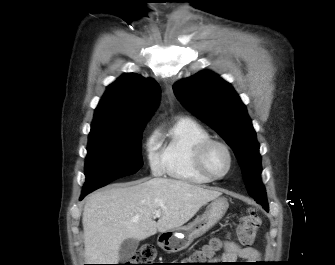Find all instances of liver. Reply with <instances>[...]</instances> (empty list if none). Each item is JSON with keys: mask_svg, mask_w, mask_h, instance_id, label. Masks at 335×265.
<instances>
[{"mask_svg": "<svg viewBox=\"0 0 335 265\" xmlns=\"http://www.w3.org/2000/svg\"><path fill=\"white\" fill-rule=\"evenodd\" d=\"M222 193L184 181L153 178L91 194L82 223L88 264H117L124 240H144L181 228L199 209ZM161 212L158 221L154 213Z\"/></svg>", "mask_w": 335, "mask_h": 265, "instance_id": "liver-1", "label": "liver"}]
</instances>
